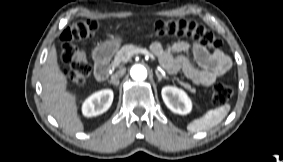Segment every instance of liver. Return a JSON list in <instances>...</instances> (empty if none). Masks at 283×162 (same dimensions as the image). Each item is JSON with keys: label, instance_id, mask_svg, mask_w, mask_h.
<instances>
[{"label": "liver", "instance_id": "obj_1", "mask_svg": "<svg viewBox=\"0 0 283 162\" xmlns=\"http://www.w3.org/2000/svg\"><path fill=\"white\" fill-rule=\"evenodd\" d=\"M67 87V77L59 67L57 51L52 46L42 70L43 101L61 127L69 132H80L84 124L77 112V98Z\"/></svg>", "mask_w": 283, "mask_h": 162}]
</instances>
